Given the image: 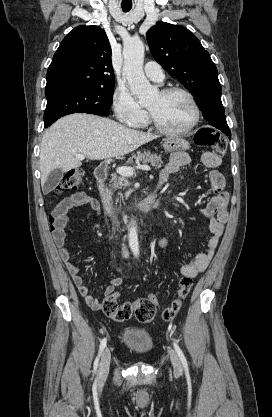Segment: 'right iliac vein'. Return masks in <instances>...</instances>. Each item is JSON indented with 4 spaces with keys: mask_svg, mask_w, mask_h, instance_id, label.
Returning a JSON list of instances; mask_svg holds the SVG:
<instances>
[{
    "mask_svg": "<svg viewBox=\"0 0 272 417\" xmlns=\"http://www.w3.org/2000/svg\"><path fill=\"white\" fill-rule=\"evenodd\" d=\"M110 359H111V352L109 348H106L103 352L100 366H99V375L101 378L105 377L109 372V366H110Z\"/></svg>",
    "mask_w": 272,
    "mask_h": 417,
    "instance_id": "1",
    "label": "right iliac vein"
}]
</instances>
